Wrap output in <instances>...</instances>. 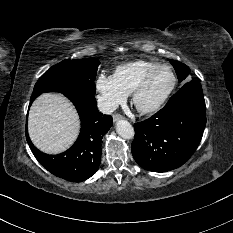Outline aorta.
Listing matches in <instances>:
<instances>
[{
  "label": "aorta",
  "instance_id": "1",
  "mask_svg": "<svg viewBox=\"0 0 233 233\" xmlns=\"http://www.w3.org/2000/svg\"><path fill=\"white\" fill-rule=\"evenodd\" d=\"M116 131L124 139H132L135 134L133 126L126 120H119L116 123Z\"/></svg>",
  "mask_w": 233,
  "mask_h": 233
}]
</instances>
